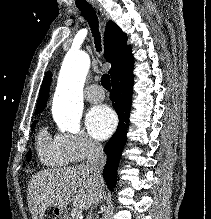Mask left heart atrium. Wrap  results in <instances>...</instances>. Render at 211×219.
Returning a JSON list of instances; mask_svg holds the SVG:
<instances>
[{"instance_id": "39dd6f15", "label": "left heart atrium", "mask_w": 211, "mask_h": 219, "mask_svg": "<svg viewBox=\"0 0 211 219\" xmlns=\"http://www.w3.org/2000/svg\"><path fill=\"white\" fill-rule=\"evenodd\" d=\"M89 133L97 139L107 138L116 127L114 112L105 105L92 108L86 118Z\"/></svg>"}]
</instances>
